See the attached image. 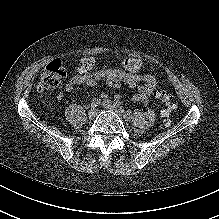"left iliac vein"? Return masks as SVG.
Returning a JSON list of instances; mask_svg holds the SVG:
<instances>
[{
	"label": "left iliac vein",
	"instance_id": "4c4485c4",
	"mask_svg": "<svg viewBox=\"0 0 219 219\" xmlns=\"http://www.w3.org/2000/svg\"><path fill=\"white\" fill-rule=\"evenodd\" d=\"M102 106L109 111H112L116 114H118L119 116H122V111L120 109V107H117L116 105L112 104L110 101L105 100L102 102Z\"/></svg>",
	"mask_w": 219,
	"mask_h": 219
}]
</instances>
